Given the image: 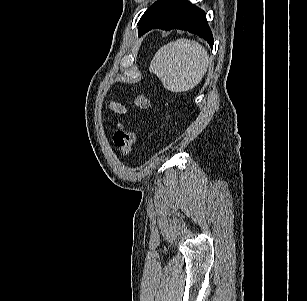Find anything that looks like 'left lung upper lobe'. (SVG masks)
<instances>
[{
  "mask_svg": "<svg viewBox=\"0 0 307 301\" xmlns=\"http://www.w3.org/2000/svg\"><path fill=\"white\" fill-rule=\"evenodd\" d=\"M179 0H157L142 15L138 22L139 35H141L148 27L159 22L166 14L177 4Z\"/></svg>",
  "mask_w": 307,
  "mask_h": 301,
  "instance_id": "1",
  "label": "left lung upper lobe"
}]
</instances>
